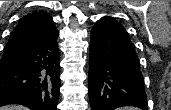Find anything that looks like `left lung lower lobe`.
I'll return each instance as SVG.
<instances>
[{
    "mask_svg": "<svg viewBox=\"0 0 171 110\" xmlns=\"http://www.w3.org/2000/svg\"><path fill=\"white\" fill-rule=\"evenodd\" d=\"M89 97L92 110L136 106L147 110L139 59L124 27L101 18L90 33Z\"/></svg>",
    "mask_w": 171,
    "mask_h": 110,
    "instance_id": "obj_1",
    "label": "left lung lower lobe"
}]
</instances>
